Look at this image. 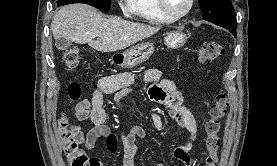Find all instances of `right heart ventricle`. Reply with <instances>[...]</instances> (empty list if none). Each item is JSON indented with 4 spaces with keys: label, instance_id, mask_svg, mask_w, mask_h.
<instances>
[{
    "label": "right heart ventricle",
    "instance_id": "obj_1",
    "mask_svg": "<svg viewBox=\"0 0 277 166\" xmlns=\"http://www.w3.org/2000/svg\"><path fill=\"white\" fill-rule=\"evenodd\" d=\"M131 11L151 24H164L171 22L158 8L156 0H132Z\"/></svg>",
    "mask_w": 277,
    "mask_h": 166
}]
</instances>
